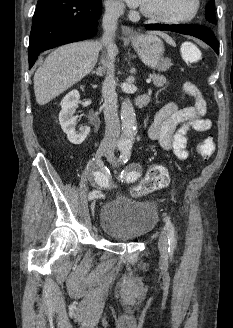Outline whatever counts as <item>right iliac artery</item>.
<instances>
[{"label": "right iliac artery", "mask_w": 233, "mask_h": 328, "mask_svg": "<svg viewBox=\"0 0 233 328\" xmlns=\"http://www.w3.org/2000/svg\"><path fill=\"white\" fill-rule=\"evenodd\" d=\"M89 166L91 170H94L92 177L90 178L91 184L97 189L89 193L88 199L93 200L95 198H103L104 194L101 190L113 188V183L108 175L109 172L100 159L97 160L93 158L89 163Z\"/></svg>", "instance_id": "1"}]
</instances>
